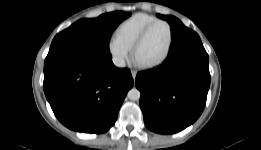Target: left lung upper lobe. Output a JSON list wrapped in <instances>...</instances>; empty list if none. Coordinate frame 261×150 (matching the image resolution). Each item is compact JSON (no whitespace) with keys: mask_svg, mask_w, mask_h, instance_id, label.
<instances>
[{"mask_svg":"<svg viewBox=\"0 0 261 150\" xmlns=\"http://www.w3.org/2000/svg\"><path fill=\"white\" fill-rule=\"evenodd\" d=\"M159 18L166 20L171 27L172 39L175 38L179 33L185 30L187 27L183 25V23L174 16H166V15H157Z\"/></svg>","mask_w":261,"mask_h":150,"instance_id":"5c2ea615","label":"left lung upper lobe"}]
</instances>
